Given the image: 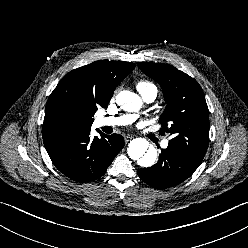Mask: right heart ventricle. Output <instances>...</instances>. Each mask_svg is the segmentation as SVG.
Listing matches in <instances>:
<instances>
[{
    "instance_id": "1",
    "label": "right heart ventricle",
    "mask_w": 248,
    "mask_h": 248,
    "mask_svg": "<svg viewBox=\"0 0 248 248\" xmlns=\"http://www.w3.org/2000/svg\"><path fill=\"white\" fill-rule=\"evenodd\" d=\"M151 87H154V85L146 80H141L136 85V88L140 93L148 90Z\"/></svg>"
}]
</instances>
